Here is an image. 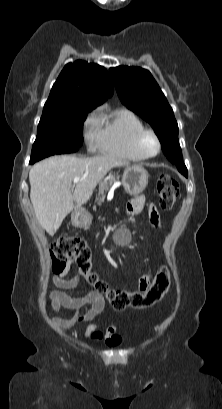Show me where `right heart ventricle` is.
Listing matches in <instances>:
<instances>
[{"mask_svg": "<svg viewBox=\"0 0 222 409\" xmlns=\"http://www.w3.org/2000/svg\"><path fill=\"white\" fill-rule=\"evenodd\" d=\"M144 128L141 119L131 110L118 107L103 111L100 117L99 150L113 158L127 161H142L134 139Z\"/></svg>", "mask_w": 222, "mask_h": 409, "instance_id": "e07e8e85", "label": "right heart ventricle"}]
</instances>
